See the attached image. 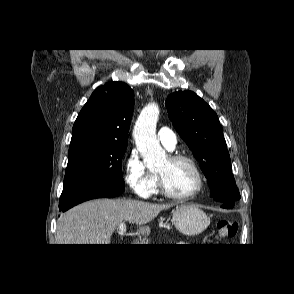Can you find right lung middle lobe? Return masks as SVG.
<instances>
[{"label":"right lung middle lobe","mask_w":294,"mask_h":294,"mask_svg":"<svg viewBox=\"0 0 294 294\" xmlns=\"http://www.w3.org/2000/svg\"><path fill=\"white\" fill-rule=\"evenodd\" d=\"M126 148L99 143L70 145L62 193L85 185L124 186L121 160Z\"/></svg>","instance_id":"obj_1"}]
</instances>
